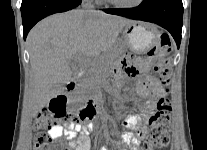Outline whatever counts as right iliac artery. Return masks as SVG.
<instances>
[{
	"mask_svg": "<svg viewBox=\"0 0 207 150\" xmlns=\"http://www.w3.org/2000/svg\"><path fill=\"white\" fill-rule=\"evenodd\" d=\"M101 150H106V149L103 147V148H101Z\"/></svg>",
	"mask_w": 207,
	"mask_h": 150,
	"instance_id": "obj_1",
	"label": "right iliac artery"
}]
</instances>
